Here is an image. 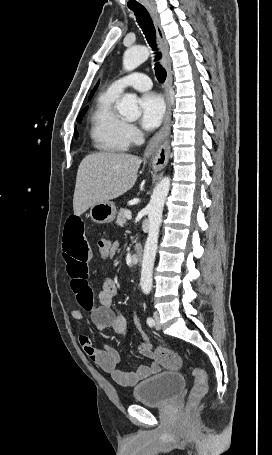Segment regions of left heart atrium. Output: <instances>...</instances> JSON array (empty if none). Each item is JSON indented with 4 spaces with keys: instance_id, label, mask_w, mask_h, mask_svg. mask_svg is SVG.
Masks as SVG:
<instances>
[{
    "instance_id": "left-heart-atrium-1",
    "label": "left heart atrium",
    "mask_w": 272,
    "mask_h": 455,
    "mask_svg": "<svg viewBox=\"0 0 272 455\" xmlns=\"http://www.w3.org/2000/svg\"><path fill=\"white\" fill-rule=\"evenodd\" d=\"M139 105L142 127L147 130L157 128L161 124L165 113V105L162 97L154 92L146 93L141 97Z\"/></svg>"
}]
</instances>
